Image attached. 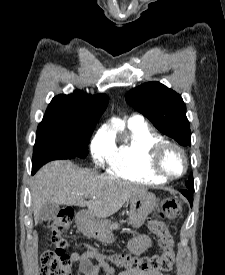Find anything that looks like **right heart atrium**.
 <instances>
[{"mask_svg": "<svg viewBox=\"0 0 225 275\" xmlns=\"http://www.w3.org/2000/svg\"><path fill=\"white\" fill-rule=\"evenodd\" d=\"M115 142L113 137L105 131H98L90 144V151L93 161L98 166L108 163L114 153Z\"/></svg>", "mask_w": 225, "mask_h": 275, "instance_id": "1", "label": "right heart atrium"}]
</instances>
